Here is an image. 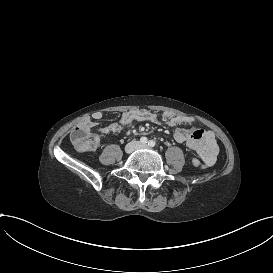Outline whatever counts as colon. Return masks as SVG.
Returning <instances> with one entry per match:
<instances>
[{"instance_id":"1","label":"colon","mask_w":273,"mask_h":273,"mask_svg":"<svg viewBox=\"0 0 273 273\" xmlns=\"http://www.w3.org/2000/svg\"><path fill=\"white\" fill-rule=\"evenodd\" d=\"M94 126L91 121L84 120L77 126L76 131H71L67 135L69 143L74 144L75 148L80 152H92L96 148L94 140L87 137L91 136Z\"/></svg>"}]
</instances>
